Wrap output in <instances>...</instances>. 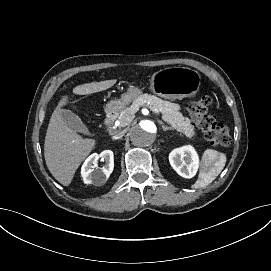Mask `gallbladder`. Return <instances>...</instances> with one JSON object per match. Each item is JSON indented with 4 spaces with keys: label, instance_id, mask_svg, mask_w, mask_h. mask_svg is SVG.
Segmentation results:
<instances>
[{
    "label": "gallbladder",
    "instance_id": "bac80fb5",
    "mask_svg": "<svg viewBox=\"0 0 271 271\" xmlns=\"http://www.w3.org/2000/svg\"><path fill=\"white\" fill-rule=\"evenodd\" d=\"M61 115L69 129L75 132L87 133L86 127L81 119L71 110L61 109Z\"/></svg>",
    "mask_w": 271,
    "mask_h": 271
}]
</instances>
